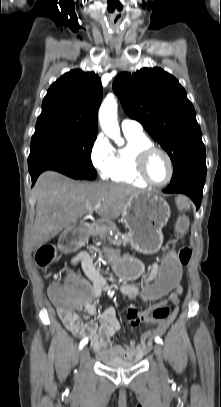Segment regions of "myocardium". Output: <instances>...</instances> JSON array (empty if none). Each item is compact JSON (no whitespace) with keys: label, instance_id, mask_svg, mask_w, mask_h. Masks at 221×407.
<instances>
[{"label":"myocardium","instance_id":"obj_1","mask_svg":"<svg viewBox=\"0 0 221 407\" xmlns=\"http://www.w3.org/2000/svg\"><path fill=\"white\" fill-rule=\"evenodd\" d=\"M154 153H161L168 161L169 176L164 182H160V183L155 182L150 178V176L148 174V170H147L148 161ZM136 171H137V174L139 175V177L144 182H146L148 185L154 186V187H163V186L168 185L171 182V180L173 179V176L175 173V166H174V162H173L171 155L165 149L152 145V146L142 149L137 154Z\"/></svg>","mask_w":221,"mask_h":407}]
</instances>
